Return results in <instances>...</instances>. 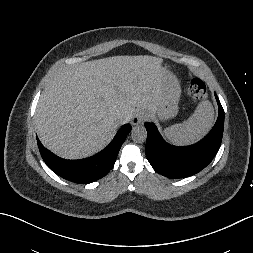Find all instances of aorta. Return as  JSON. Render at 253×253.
Masks as SVG:
<instances>
[{
	"mask_svg": "<svg viewBox=\"0 0 253 253\" xmlns=\"http://www.w3.org/2000/svg\"><path fill=\"white\" fill-rule=\"evenodd\" d=\"M132 140L136 143H143L147 138V130L144 126L138 125L132 129Z\"/></svg>",
	"mask_w": 253,
	"mask_h": 253,
	"instance_id": "762f6f07",
	"label": "aorta"
}]
</instances>
